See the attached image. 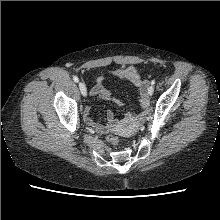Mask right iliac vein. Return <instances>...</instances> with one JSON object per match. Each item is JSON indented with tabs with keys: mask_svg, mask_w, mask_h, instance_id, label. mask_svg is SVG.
<instances>
[{
	"mask_svg": "<svg viewBox=\"0 0 220 220\" xmlns=\"http://www.w3.org/2000/svg\"><path fill=\"white\" fill-rule=\"evenodd\" d=\"M79 89L83 96L87 95V88L83 82H79Z\"/></svg>",
	"mask_w": 220,
	"mask_h": 220,
	"instance_id": "obj_1",
	"label": "right iliac vein"
}]
</instances>
